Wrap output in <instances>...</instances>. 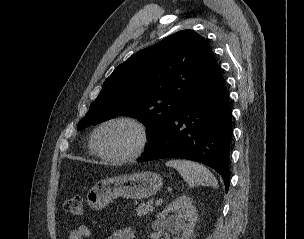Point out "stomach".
<instances>
[{"label": "stomach", "mask_w": 304, "mask_h": 239, "mask_svg": "<svg viewBox=\"0 0 304 239\" xmlns=\"http://www.w3.org/2000/svg\"><path fill=\"white\" fill-rule=\"evenodd\" d=\"M162 178L150 171L136 172L106 178L96 183L87 193L88 205L101 210L116 197L143 199L150 197L161 188Z\"/></svg>", "instance_id": "obj_1"}]
</instances>
